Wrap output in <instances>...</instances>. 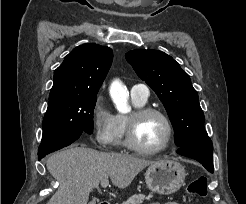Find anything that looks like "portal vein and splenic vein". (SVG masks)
Segmentation results:
<instances>
[{
    "label": "portal vein and splenic vein",
    "instance_id": "18ae733b",
    "mask_svg": "<svg viewBox=\"0 0 246 204\" xmlns=\"http://www.w3.org/2000/svg\"><path fill=\"white\" fill-rule=\"evenodd\" d=\"M108 185H109L108 179H104V180L101 181V186H102L103 188H106Z\"/></svg>",
    "mask_w": 246,
    "mask_h": 204
}]
</instances>
